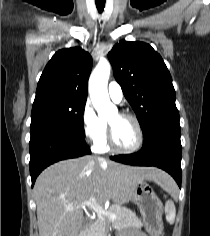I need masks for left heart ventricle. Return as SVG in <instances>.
Returning a JSON list of instances; mask_svg holds the SVG:
<instances>
[{"label":"left heart ventricle","mask_w":210,"mask_h":236,"mask_svg":"<svg viewBox=\"0 0 210 236\" xmlns=\"http://www.w3.org/2000/svg\"><path fill=\"white\" fill-rule=\"evenodd\" d=\"M112 127L113 138L117 146L131 148L137 141V130L134 122L130 119L114 114L108 120Z\"/></svg>","instance_id":"1"}]
</instances>
